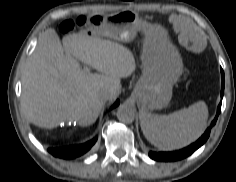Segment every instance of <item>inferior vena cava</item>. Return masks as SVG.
Masks as SVG:
<instances>
[{
	"label": "inferior vena cava",
	"instance_id": "inferior-vena-cava-1",
	"mask_svg": "<svg viewBox=\"0 0 236 182\" xmlns=\"http://www.w3.org/2000/svg\"><path fill=\"white\" fill-rule=\"evenodd\" d=\"M99 97L103 101L110 100L112 98V93L109 90H102L99 93Z\"/></svg>",
	"mask_w": 236,
	"mask_h": 182
}]
</instances>
